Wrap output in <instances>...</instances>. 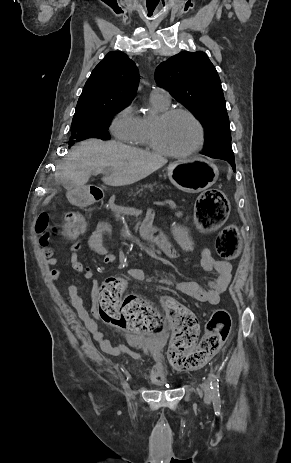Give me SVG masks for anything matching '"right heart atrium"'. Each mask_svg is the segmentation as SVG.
I'll return each mask as SVG.
<instances>
[{
    "instance_id": "right-heart-atrium-1",
    "label": "right heart atrium",
    "mask_w": 291,
    "mask_h": 463,
    "mask_svg": "<svg viewBox=\"0 0 291 463\" xmlns=\"http://www.w3.org/2000/svg\"><path fill=\"white\" fill-rule=\"evenodd\" d=\"M111 132L121 142L133 143L138 131V118L131 105L119 111L112 119Z\"/></svg>"
}]
</instances>
